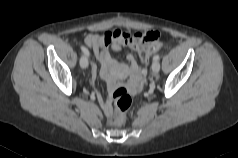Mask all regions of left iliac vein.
<instances>
[{
  "mask_svg": "<svg viewBox=\"0 0 238 158\" xmlns=\"http://www.w3.org/2000/svg\"><path fill=\"white\" fill-rule=\"evenodd\" d=\"M152 72L154 74H157L160 70V63L158 60L153 61L152 66H151Z\"/></svg>",
  "mask_w": 238,
  "mask_h": 158,
  "instance_id": "left-iliac-vein-1",
  "label": "left iliac vein"
}]
</instances>
